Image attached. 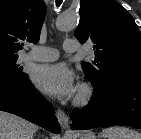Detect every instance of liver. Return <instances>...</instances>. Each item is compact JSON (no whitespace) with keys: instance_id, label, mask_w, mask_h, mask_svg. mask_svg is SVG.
Returning a JSON list of instances; mask_svg holds the SVG:
<instances>
[{"instance_id":"1","label":"liver","mask_w":141,"mask_h":139,"mask_svg":"<svg viewBox=\"0 0 141 139\" xmlns=\"http://www.w3.org/2000/svg\"><path fill=\"white\" fill-rule=\"evenodd\" d=\"M37 130V125L0 111V139H32Z\"/></svg>"}]
</instances>
